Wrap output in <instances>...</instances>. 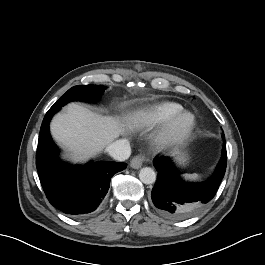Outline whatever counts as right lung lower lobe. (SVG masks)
<instances>
[{"label": "right lung lower lobe", "mask_w": 265, "mask_h": 265, "mask_svg": "<svg viewBox=\"0 0 265 265\" xmlns=\"http://www.w3.org/2000/svg\"><path fill=\"white\" fill-rule=\"evenodd\" d=\"M60 108H50L41 128L36 166L49 202L65 214L83 217L93 212L108 192L114 174L126 168L120 162H89L72 166L59 160L49 133V122Z\"/></svg>", "instance_id": "obj_1"}]
</instances>
